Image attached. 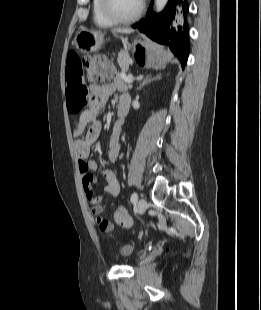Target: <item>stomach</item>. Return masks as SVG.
I'll return each mask as SVG.
<instances>
[{
    "instance_id": "obj_1",
    "label": "stomach",
    "mask_w": 261,
    "mask_h": 310,
    "mask_svg": "<svg viewBox=\"0 0 261 310\" xmlns=\"http://www.w3.org/2000/svg\"><path fill=\"white\" fill-rule=\"evenodd\" d=\"M74 44L83 53L96 52L104 44V35L93 30L79 31L75 36ZM133 49L136 60L147 68L162 69L168 62L167 51L158 45L135 41Z\"/></svg>"
}]
</instances>
